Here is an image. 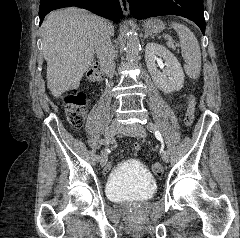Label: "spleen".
Wrapping results in <instances>:
<instances>
[{
    "instance_id": "1",
    "label": "spleen",
    "mask_w": 240,
    "mask_h": 238,
    "mask_svg": "<svg viewBox=\"0 0 240 238\" xmlns=\"http://www.w3.org/2000/svg\"><path fill=\"white\" fill-rule=\"evenodd\" d=\"M171 26L180 39L181 52L185 59V72L191 79H197L201 71V51L198 40L187 26L175 22Z\"/></svg>"
}]
</instances>
